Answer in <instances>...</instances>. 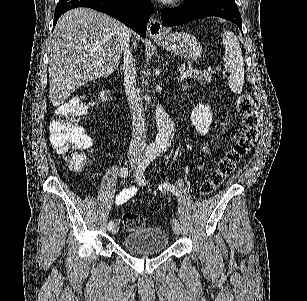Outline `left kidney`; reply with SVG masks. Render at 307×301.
<instances>
[{
    "label": "left kidney",
    "mask_w": 307,
    "mask_h": 301,
    "mask_svg": "<svg viewBox=\"0 0 307 301\" xmlns=\"http://www.w3.org/2000/svg\"><path fill=\"white\" fill-rule=\"evenodd\" d=\"M212 118L211 106L209 104H203V102H199L197 106H194L190 114V120L198 134H207L209 132Z\"/></svg>",
    "instance_id": "left-kidney-1"
}]
</instances>
